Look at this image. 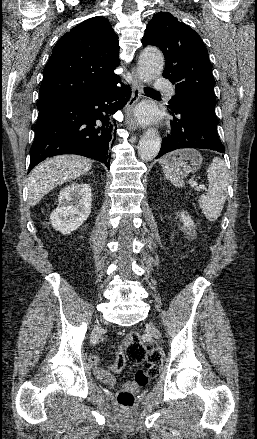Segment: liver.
Instances as JSON below:
<instances>
[{
  "label": "liver",
  "mask_w": 257,
  "mask_h": 439,
  "mask_svg": "<svg viewBox=\"0 0 257 439\" xmlns=\"http://www.w3.org/2000/svg\"><path fill=\"white\" fill-rule=\"evenodd\" d=\"M92 161L78 155H60L36 166L28 178L29 203L35 206L56 186L85 174Z\"/></svg>",
  "instance_id": "6515ba94"
}]
</instances>
